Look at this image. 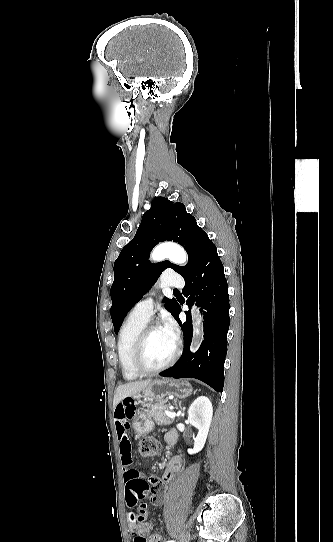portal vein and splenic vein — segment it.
<instances>
[{
	"instance_id": "18ae733b",
	"label": "portal vein and splenic vein",
	"mask_w": 333,
	"mask_h": 542,
	"mask_svg": "<svg viewBox=\"0 0 333 542\" xmlns=\"http://www.w3.org/2000/svg\"><path fill=\"white\" fill-rule=\"evenodd\" d=\"M165 414L168 416V418H175V416H177L175 412H168V410H165Z\"/></svg>"
}]
</instances>
